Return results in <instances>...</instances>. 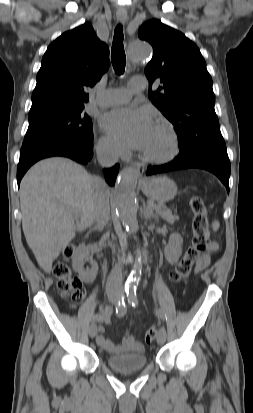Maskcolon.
Listing matches in <instances>:
<instances>
[{"mask_svg":"<svg viewBox=\"0 0 253 413\" xmlns=\"http://www.w3.org/2000/svg\"><path fill=\"white\" fill-rule=\"evenodd\" d=\"M191 209L194 214L192 242L184 257L169 274V280L172 283H179L185 279L210 245L208 214L201 196L194 195L192 197ZM74 250L73 245H69L64 249L63 260L55 264L53 273L58 279V289L61 295L73 302H80L85 296V291L81 280L73 275V271L68 263ZM156 335L157 330L154 327L147 329L145 332L146 342H152Z\"/></svg>","mask_w":253,"mask_h":413,"instance_id":"1","label":"colon"}]
</instances>
